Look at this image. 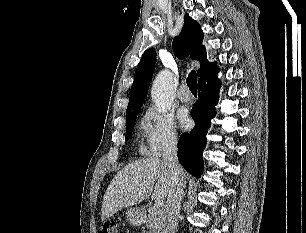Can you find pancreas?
I'll use <instances>...</instances> for the list:
<instances>
[{
    "label": "pancreas",
    "instance_id": "obj_1",
    "mask_svg": "<svg viewBox=\"0 0 306 233\" xmlns=\"http://www.w3.org/2000/svg\"><path fill=\"white\" fill-rule=\"evenodd\" d=\"M146 227L149 230L148 233H166L165 219L161 209L148 208Z\"/></svg>",
    "mask_w": 306,
    "mask_h": 233
}]
</instances>
